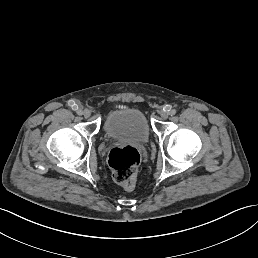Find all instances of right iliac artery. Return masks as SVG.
<instances>
[{
    "mask_svg": "<svg viewBox=\"0 0 258 258\" xmlns=\"http://www.w3.org/2000/svg\"><path fill=\"white\" fill-rule=\"evenodd\" d=\"M77 114L81 116L83 114V112L81 110H79V111H77Z\"/></svg>",
    "mask_w": 258,
    "mask_h": 258,
    "instance_id": "right-iliac-artery-1",
    "label": "right iliac artery"
}]
</instances>
